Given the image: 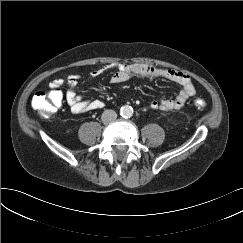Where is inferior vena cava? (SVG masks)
<instances>
[{
	"mask_svg": "<svg viewBox=\"0 0 243 243\" xmlns=\"http://www.w3.org/2000/svg\"><path fill=\"white\" fill-rule=\"evenodd\" d=\"M117 118V113L114 110H105L102 114V121L104 124H109Z\"/></svg>",
	"mask_w": 243,
	"mask_h": 243,
	"instance_id": "1",
	"label": "inferior vena cava"
}]
</instances>
